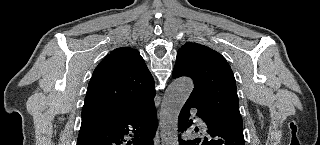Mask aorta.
I'll return each instance as SVG.
<instances>
[{
    "label": "aorta",
    "instance_id": "1",
    "mask_svg": "<svg viewBox=\"0 0 320 145\" xmlns=\"http://www.w3.org/2000/svg\"><path fill=\"white\" fill-rule=\"evenodd\" d=\"M193 81L181 77L165 92L160 111V130L163 145H178V116L193 90Z\"/></svg>",
    "mask_w": 320,
    "mask_h": 145
}]
</instances>
